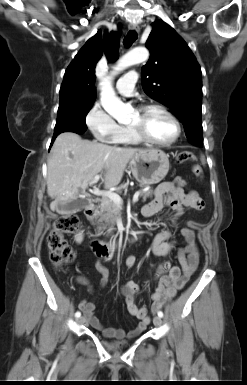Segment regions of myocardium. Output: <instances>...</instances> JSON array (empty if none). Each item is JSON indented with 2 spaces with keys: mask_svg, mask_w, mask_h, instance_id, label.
Segmentation results:
<instances>
[{
  "mask_svg": "<svg viewBox=\"0 0 247 385\" xmlns=\"http://www.w3.org/2000/svg\"><path fill=\"white\" fill-rule=\"evenodd\" d=\"M153 110H157L164 113L174 124L175 134L169 141H166V142L154 141L150 139L139 127L129 126V128L131 132L134 134V136L141 142H144L146 144H149L151 146H156V147H169L173 145L181 136V132H182L181 124L177 119V117L171 111H169L166 107L159 104H148V105L140 106L137 109V112L140 116H144Z\"/></svg>",
  "mask_w": 247,
  "mask_h": 385,
  "instance_id": "obj_1",
  "label": "myocardium"
}]
</instances>
